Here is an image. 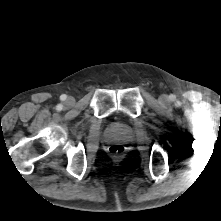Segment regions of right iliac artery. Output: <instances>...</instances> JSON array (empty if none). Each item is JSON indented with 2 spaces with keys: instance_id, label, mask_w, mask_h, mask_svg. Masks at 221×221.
Instances as JSON below:
<instances>
[{
  "instance_id": "right-iliac-artery-1",
  "label": "right iliac artery",
  "mask_w": 221,
  "mask_h": 221,
  "mask_svg": "<svg viewBox=\"0 0 221 221\" xmlns=\"http://www.w3.org/2000/svg\"><path fill=\"white\" fill-rule=\"evenodd\" d=\"M57 109H58V110H61V109H62V105H58V106H57Z\"/></svg>"
}]
</instances>
